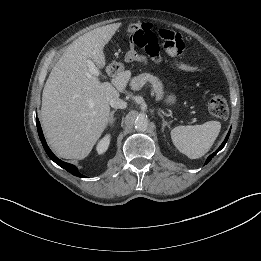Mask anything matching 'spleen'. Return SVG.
Instances as JSON below:
<instances>
[{"label":"spleen","mask_w":261,"mask_h":261,"mask_svg":"<svg viewBox=\"0 0 261 261\" xmlns=\"http://www.w3.org/2000/svg\"><path fill=\"white\" fill-rule=\"evenodd\" d=\"M221 129L218 121L201 125L177 126L171 131L175 147L190 159L204 156L214 144Z\"/></svg>","instance_id":"obj_1"}]
</instances>
